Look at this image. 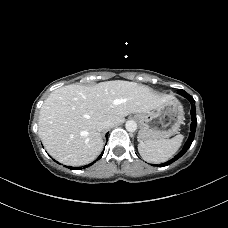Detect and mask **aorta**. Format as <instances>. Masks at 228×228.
<instances>
[{
    "mask_svg": "<svg viewBox=\"0 0 228 228\" xmlns=\"http://www.w3.org/2000/svg\"><path fill=\"white\" fill-rule=\"evenodd\" d=\"M125 128L128 132H134L137 129V124L133 120H129L125 124Z\"/></svg>",
    "mask_w": 228,
    "mask_h": 228,
    "instance_id": "obj_1",
    "label": "aorta"
}]
</instances>
